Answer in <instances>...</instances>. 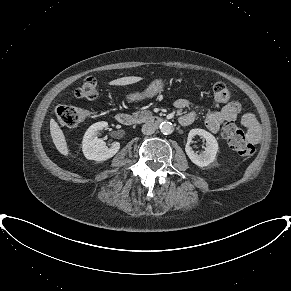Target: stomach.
Returning a JSON list of instances; mask_svg holds the SVG:
<instances>
[{"mask_svg":"<svg viewBox=\"0 0 291 291\" xmlns=\"http://www.w3.org/2000/svg\"><path fill=\"white\" fill-rule=\"evenodd\" d=\"M164 88V82L161 79H155L149 86L144 90V92L130 93L127 95L129 101H139L145 98H152L155 95L161 93Z\"/></svg>","mask_w":291,"mask_h":291,"instance_id":"0dacf381","label":"stomach"}]
</instances>
